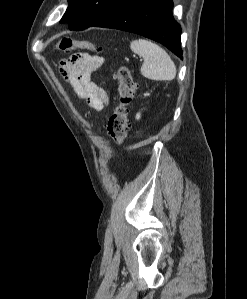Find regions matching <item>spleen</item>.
Returning a JSON list of instances; mask_svg holds the SVG:
<instances>
[{"label": "spleen", "mask_w": 247, "mask_h": 299, "mask_svg": "<svg viewBox=\"0 0 247 299\" xmlns=\"http://www.w3.org/2000/svg\"><path fill=\"white\" fill-rule=\"evenodd\" d=\"M130 48L144 59L140 68L144 77L156 81H171L175 78L176 66L168 53L159 45L145 39H138L130 43Z\"/></svg>", "instance_id": "3e777b00"}]
</instances>
